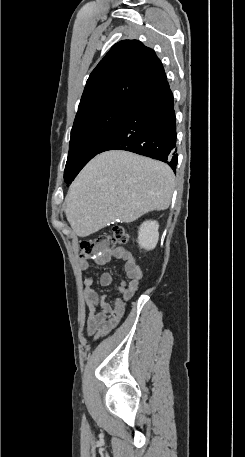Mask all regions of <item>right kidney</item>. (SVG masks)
I'll list each match as a JSON object with an SVG mask.
<instances>
[{
	"instance_id": "obj_1",
	"label": "right kidney",
	"mask_w": 245,
	"mask_h": 457,
	"mask_svg": "<svg viewBox=\"0 0 245 457\" xmlns=\"http://www.w3.org/2000/svg\"><path fill=\"white\" fill-rule=\"evenodd\" d=\"M159 224L157 220H145L141 226H139L138 243L143 249H155L159 241Z\"/></svg>"
}]
</instances>
